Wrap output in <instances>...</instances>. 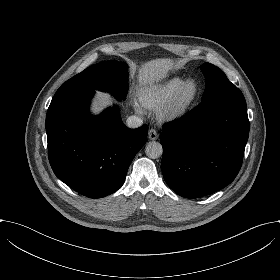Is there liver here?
<instances>
[{
  "label": "liver",
  "instance_id": "1",
  "mask_svg": "<svg viewBox=\"0 0 280 280\" xmlns=\"http://www.w3.org/2000/svg\"><path fill=\"white\" fill-rule=\"evenodd\" d=\"M173 62L171 58H155L148 61L140 62L136 66L138 85L144 87L145 84L152 85L159 83L169 70L172 69ZM135 64L129 65L130 77H133ZM121 103L111 96L110 92L95 90L88 104V113L91 117L97 118L105 107H113Z\"/></svg>",
  "mask_w": 280,
  "mask_h": 280
}]
</instances>
